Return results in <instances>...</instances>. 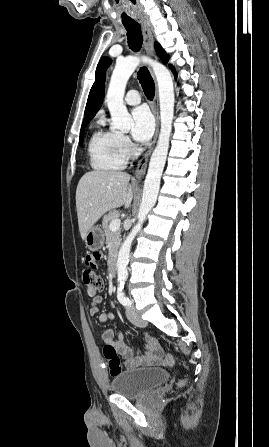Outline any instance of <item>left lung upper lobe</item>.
<instances>
[{
    "instance_id": "1",
    "label": "left lung upper lobe",
    "mask_w": 269,
    "mask_h": 447,
    "mask_svg": "<svg viewBox=\"0 0 269 447\" xmlns=\"http://www.w3.org/2000/svg\"><path fill=\"white\" fill-rule=\"evenodd\" d=\"M155 49L157 51L158 56L161 58V60L163 62H167L169 59V56L165 53V51L161 48V46L159 44H155ZM111 64V60L107 57H103L101 59V61L99 62L97 69H96V81L93 84L89 97H88V102H87V106H86V111L91 103V100L93 98V95L99 85V81H100V77L102 75V73L106 70V68Z\"/></svg>"
}]
</instances>
